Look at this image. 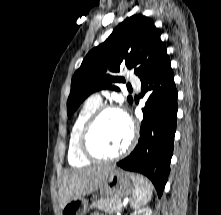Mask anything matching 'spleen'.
Wrapping results in <instances>:
<instances>
[{
  "label": "spleen",
  "instance_id": "spleen-1",
  "mask_svg": "<svg viewBox=\"0 0 221 215\" xmlns=\"http://www.w3.org/2000/svg\"><path fill=\"white\" fill-rule=\"evenodd\" d=\"M135 181V187L132 191L131 207L139 209L151 200L152 188L150 182L142 176L137 175Z\"/></svg>",
  "mask_w": 221,
  "mask_h": 215
}]
</instances>
